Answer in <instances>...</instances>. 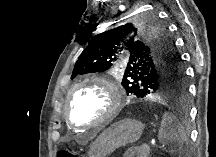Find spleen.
<instances>
[{
  "label": "spleen",
  "mask_w": 216,
  "mask_h": 157,
  "mask_svg": "<svg viewBox=\"0 0 216 157\" xmlns=\"http://www.w3.org/2000/svg\"><path fill=\"white\" fill-rule=\"evenodd\" d=\"M158 139L170 153L185 155V144H188L189 139L185 128L172 113L165 112L163 114Z\"/></svg>",
  "instance_id": "3e777b00"
}]
</instances>
